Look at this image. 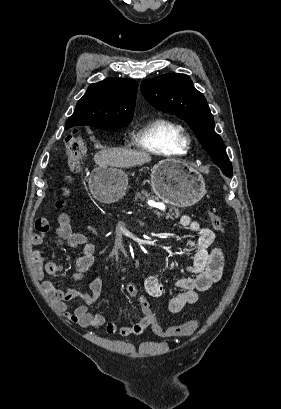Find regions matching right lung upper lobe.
<instances>
[{
  "mask_svg": "<svg viewBox=\"0 0 281 409\" xmlns=\"http://www.w3.org/2000/svg\"><path fill=\"white\" fill-rule=\"evenodd\" d=\"M138 83L108 78L91 84L66 122V129L79 125L129 124L133 117Z\"/></svg>",
  "mask_w": 281,
  "mask_h": 409,
  "instance_id": "1",
  "label": "right lung upper lobe"
}]
</instances>
